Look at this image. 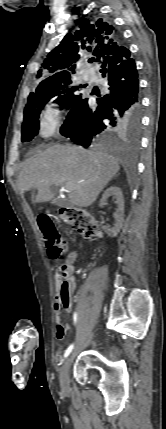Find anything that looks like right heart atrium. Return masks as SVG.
Returning <instances> with one entry per match:
<instances>
[{
  "label": "right heart atrium",
  "instance_id": "d8ad5b80",
  "mask_svg": "<svg viewBox=\"0 0 166 429\" xmlns=\"http://www.w3.org/2000/svg\"><path fill=\"white\" fill-rule=\"evenodd\" d=\"M61 108L57 101L48 102L41 112L39 127L41 134L47 136L53 133L59 126Z\"/></svg>",
  "mask_w": 166,
  "mask_h": 429
}]
</instances>
